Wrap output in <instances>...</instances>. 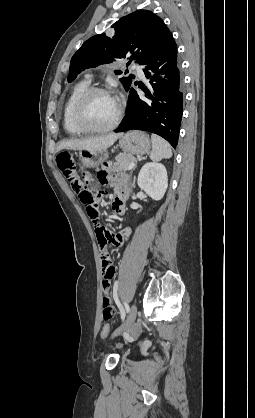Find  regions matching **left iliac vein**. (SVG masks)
Instances as JSON below:
<instances>
[{
	"label": "left iliac vein",
	"mask_w": 255,
	"mask_h": 418,
	"mask_svg": "<svg viewBox=\"0 0 255 418\" xmlns=\"http://www.w3.org/2000/svg\"><path fill=\"white\" fill-rule=\"evenodd\" d=\"M136 316H137V307L135 304H132L126 321L113 332L112 338L128 330L134 323Z\"/></svg>",
	"instance_id": "obj_1"
}]
</instances>
